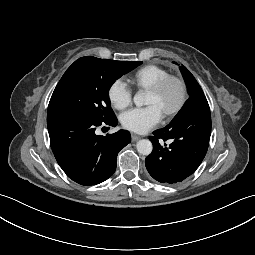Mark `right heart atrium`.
I'll return each instance as SVG.
<instances>
[{
    "label": "right heart atrium",
    "mask_w": 255,
    "mask_h": 255,
    "mask_svg": "<svg viewBox=\"0 0 255 255\" xmlns=\"http://www.w3.org/2000/svg\"><path fill=\"white\" fill-rule=\"evenodd\" d=\"M108 98L114 108L122 110L131 103L132 90L123 79H116L109 86Z\"/></svg>",
    "instance_id": "obj_1"
}]
</instances>
